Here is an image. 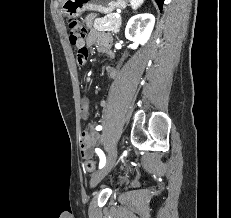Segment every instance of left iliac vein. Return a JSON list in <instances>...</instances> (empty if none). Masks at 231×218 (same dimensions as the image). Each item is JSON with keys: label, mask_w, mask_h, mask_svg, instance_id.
I'll use <instances>...</instances> for the list:
<instances>
[{"label": "left iliac vein", "mask_w": 231, "mask_h": 218, "mask_svg": "<svg viewBox=\"0 0 231 218\" xmlns=\"http://www.w3.org/2000/svg\"><path fill=\"white\" fill-rule=\"evenodd\" d=\"M117 153L118 151L116 146L110 149L104 167L100 171L93 174L91 177L90 184L92 187L96 186L109 173V171L115 164V161L117 159Z\"/></svg>", "instance_id": "obj_1"}]
</instances>
